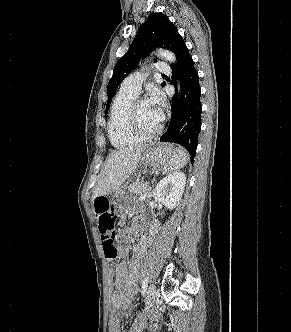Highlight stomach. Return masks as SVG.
<instances>
[{
    "instance_id": "stomach-1",
    "label": "stomach",
    "mask_w": 291,
    "mask_h": 332,
    "mask_svg": "<svg viewBox=\"0 0 291 332\" xmlns=\"http://www.w3.org/2000/svg\"><path fill=\"white\" fill-rule=\"evenodd\" d=\"M177 154V149L167 143H153L143 151L141 163L149 166L154 170L165 167L172 158ZM131 199L126 193L125 188L118 189L114 192V207L121 211L129 206Z\"/></svg>"
}]
</instances>
